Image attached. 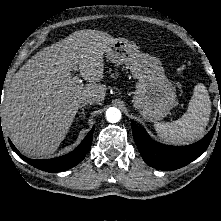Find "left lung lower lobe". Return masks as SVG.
<instances>
[{
  "label": "left lung lower lobe",
  "mask_w": 221,
  "mask_h": 221,
  "mask_svg": "<svg viewBox=\"0 0 221 221\" xmlns=\"http://www.w3.org/2000/svg\"><path fill=\"white\" fill-rule=\"evenodd\" d=\"M133 138L140 151L143 160L151 167L158 170H175L186 166L198 158L208 147L216 124L210 132L199 142L178 147L154 142L145 131L135 123H131ZM221 126V118H220Z\"/></svg>",
  "instance_id": "1"
}]
</instances>
